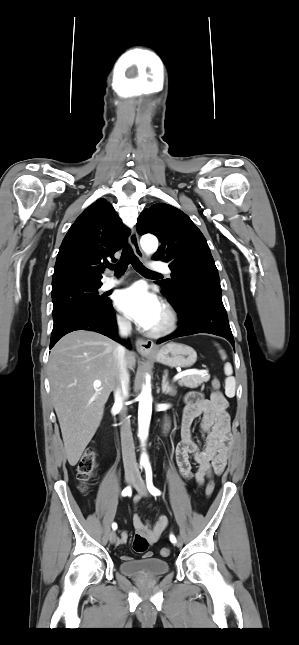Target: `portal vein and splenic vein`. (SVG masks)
<instances>
[{
	"label": "portal vein and splenic vein",
	"instance_id": "obj_1",
	"mask_svg": "<svg viewBox=\"0 0 299 645\" xmlns=\"http://www.w3.org/2000/svg\"><path fill=\"white\" fill-rule=\"evenodd\" d=\"M201 373H202V372H201V371H199V370H186V371H183V372H181V373H179V374L175 375L173 380H174V381H176V380H179V379H181L182 377L187 376V375L201 374ZM93 386H94L95 388H98V387H100V386H101V382H100L99 380H96V381H94Z\"/></svg>",
	"mask_w": 299,
	"mask_h": 645
}]
</instances>
